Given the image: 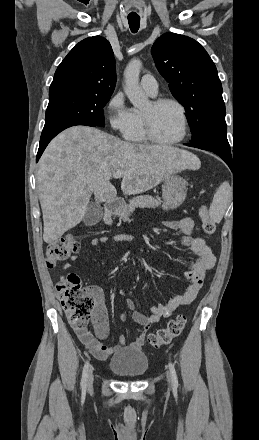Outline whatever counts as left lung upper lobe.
Listing matches in <instances>:
<instances>
[{"mask_svg":"<svg viewBox=\"0 0 259 440\" xmlns=\"http://www.w3.org/2000/svg\"><path fill=\"white\" fill-rule=\"evenodd\" d=\"M159 73L172 95L185 107L192 141L211 132H227L222 85L217 69L194 39L166 33L152 46Z\"/></svg>","mask_w":259,"mask_h":440,"instance_id":"obj_1","label":"left lung upper lobe"}]
</instances>
